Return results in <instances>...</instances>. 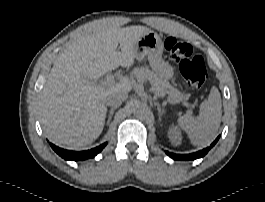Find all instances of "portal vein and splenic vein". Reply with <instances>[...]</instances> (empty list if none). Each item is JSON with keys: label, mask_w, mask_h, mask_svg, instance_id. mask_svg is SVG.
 <instances>
[{"label": "portal vein and splenic vein", "mask_w": 265, "mask_h": 202, "mask_svg": "<svg viewBox=\"0 0 265 202\" xmlns=\"http://www.w3.org/2000/svg\"><path fill=\"white\" fill-rule=\"evenodd\" d=\"M115 78H116L115 75L110 74L107 75L104 80H101L98 83L103 85L113 84L115 82ZM123 78L124 77H119V80H122Z\"/></svg>", "instance_id": "portal-vein-and-splenic-vein-1"}]
</instances>
